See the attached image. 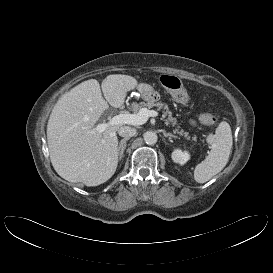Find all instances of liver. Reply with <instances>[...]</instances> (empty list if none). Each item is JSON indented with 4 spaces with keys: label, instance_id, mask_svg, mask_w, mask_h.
I'll return each instance as SVG.
<instances>
[{
    "label": "liver",
    "instance_id": "obj_1",
    "mask_svg": "<svg viewBox=\"0 0 273 273\" xmlns=\"http://www.w3.org/2000/svg\"><path fill=\"white\" fill-rule=\"evenodd\" d=\"M137 84L134 77L121 74L107 76L101 88L97 80L89 79L58 100L48 120L47 142L59 176L87 186L100 185L113 176L119 156L116 132L123 124L101 133L91 130L109 108L108 103L121 108L127 92Z\"/></svg>",
    "mask_w": 273,
    "mask_h": 273
}]
</instances>
